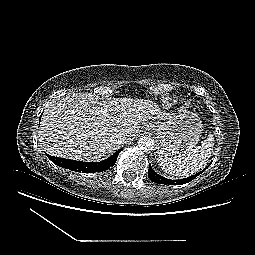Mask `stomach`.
I'll return each mask as SVG.
<instances>
[{"label": "stomach", "instance_id": "1", "mask_svg": "<svg viewBox=\"0 0 255 255\" xmlns=\"http://www.w3.org/2000/svg\"><path fill=\"white\" fill-rule=\"evenodd\" d=\"M145 130L156 132L159 140V154L174 156L195 147L202 133V123L197 114L183 112L171 116L164 122H151Z\"/></svg>", "mask_w": 255, "mask_h": 255}]
</instances>
